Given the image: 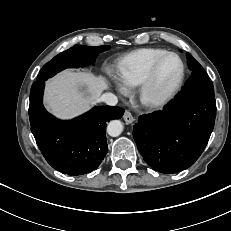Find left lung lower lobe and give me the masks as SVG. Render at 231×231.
Returning <instances> with one entry per match:
<instances>
[{
    "label": "left lung lower lobe",
    "instance_id": "left-lung-lower-lobe-1",
    "mask_svg": "<svg viewBox=\"0 0 231 231\" xmlns=\"http://www.w3.org/2000/svg\"><path fill=\"white\" fill-rule=\"evenodd\" d=\"M216 117L212 96H176L160 111L139 117L133 138L145 162L161 173L187 169L205 149Z\"/></svg>",
    "mask_w": 231,
    "mask_h": 231
}]
</instances>
